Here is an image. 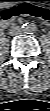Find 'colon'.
Segmentation results:
<instances>
[{"label": "colon", "instance_id": "5ec220e1", "mask_svg": "<svg viewBox=\"0 0 50 111\" xmlns=\"http://www.w3.org/2000/svg\"><path fill=\"white\" fill-rule=\"evenodd\" d=\"M36 17L41 20H49L50 19V11L43 7L25 3L16 7H12L10 9H6L2 12L1 21L7 22L16 17Z\"/></svg>", "mask_w": 50, "mask_h": 111}]
</instances>
